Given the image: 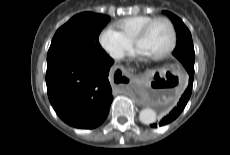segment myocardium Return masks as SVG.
<instances>
[{"instance_id":"1","label":"myocardium","mask_w":230,"mask_h":155,"mask_svg":"<svg viewBox=\"0 0 230 155\" xmlns=\"http://www.w3.org/2000/svg\"><path fill=\"white\" fill-rule=\"evenodd\" d=\"M158 21H164L169 25L170 31H171V41H170L168 48L165 51H163L159 54L150 56L152 59H155V60H160V59L166 58L173 52V50L176 46V43H177V32H176V28H175L174 23L167 17H155L152 20H150L149 22H147L141 28V30L138 32V34L136 35V37L134 39L135 46H138L139 41L142 40L147 35V33L149 32L151 27Z\"/></svg>"}]
</instances>
